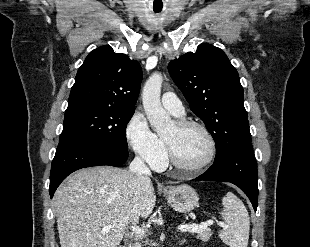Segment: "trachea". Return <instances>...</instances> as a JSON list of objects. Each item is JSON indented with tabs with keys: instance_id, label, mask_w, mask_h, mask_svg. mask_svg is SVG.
Listing matches in <instances>:
<instances>
[{
	"instance_id": "1",
	"label": "trachea",
	"mask_w": 310,
	"mask_h": 247,
	"mask_svg": "<svg viewBox=\"0 0 310 247\" xmlns=\"http://www.w3.org/2000/svg\"><path fill=\"white\" fill-rule=\"evenodd\" d=\"M158 12H160V10H155V13H158Z\"/></svg>"
}]
</instances>
